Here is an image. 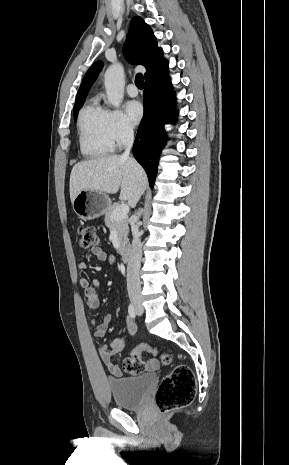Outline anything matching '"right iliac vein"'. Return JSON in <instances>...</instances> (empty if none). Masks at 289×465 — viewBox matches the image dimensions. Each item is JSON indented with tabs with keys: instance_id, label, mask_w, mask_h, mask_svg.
<instances>
[{
	"instance_id": "right-iliac-vein-1",
	"label": "right iliac vein",
	"mask_w": 289,
	"mask_h": 465,
	"mask_svg": "<svg viewBox=\"0 0 289 465\" xmlns=\"http://www.w3.org/2000/svg\"><path fill=\"white\" fill-rule=\"evenodd\" d=\"M133 305L135 307V310L138 314H142L143 313V307L141 306V303L139 300L135 299L133 300Z\"/></svg>"
}]
</instances>
